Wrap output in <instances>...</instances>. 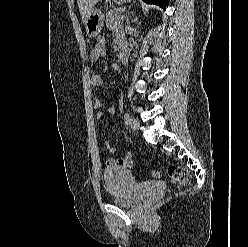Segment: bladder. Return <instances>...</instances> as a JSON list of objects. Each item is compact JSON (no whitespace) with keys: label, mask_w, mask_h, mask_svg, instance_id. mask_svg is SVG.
Wrapping results in <instances>:
<instances>
[{"label":"bladder","mask_w":248,"mask_h":247,"mask_svg":"<svg viewBox=\"0 0 248 247\" xmlns=\"http://www.w3.org/2000/svg\"><path fill=\"white\" fill-rule=\"evenodd\" d=\"M103 181L111 201L119 206H132L141 196L137 194L138 184L131 171L123 167L104 170Z\"/></svg>","instance_id":"31cf9c89"}]
</instances>
